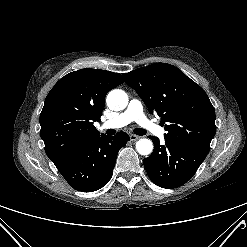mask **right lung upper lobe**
Instances as JSON below:
<instances>
[{
    "instance_id": "right-lung-upper-lobe-1",
    "label": "right lung upper lobe",
    "mask_w": 247,
    "mask_h": 247,
    "mask_svg": "<svg viewBox=\"0 0 247 247\" xmlns=\"http://www.w3.org/2000/svg\"><path fill=\"white\" fill-rule=\"evenodd\" d=\"M123 83L121 74L85 68L61 78L46 97L40 114V136L57 168L84 144L98 138L106 94Z\"/></svg>"
}]
</instances>
